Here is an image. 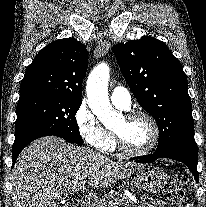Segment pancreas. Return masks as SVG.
I'll list each match as a JSON object with an SVG mask.
<instances>
[{"instance_id": "1", "label": "pancreas", "mask_w": 206, "mask_h": 207, "mask_svg": "<svg viewBox=\"0 0 206 207\" xmlns=\"http://www.w3.org/2000/svg\"><path fill=\"white\" fill-rule=\"evenodd\" d=\"M135 207L133 202L126 199L122 192H110L107 195L103 196L94 207Z\"/></svg>"}]
</instances>
